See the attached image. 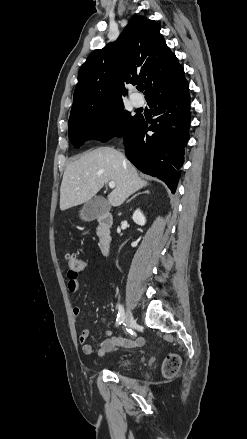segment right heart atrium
<instances>
[{
    "instance_id": "right-heart-atrium-1",
    "label": "right heart atrium",
    "mask_w": 247,
    "mask_h": 439,
    "mask_svg": "<svg viewBox=\"0 0 247 439\" xmlns=\"http://www.w3.org/2000/svg\"><path fill=\"white\" fill-rule=\"evenodd\" d=\"M109 123H110L109 119L105 121V125H108Z\"/></svg>"
}]
</instances>
